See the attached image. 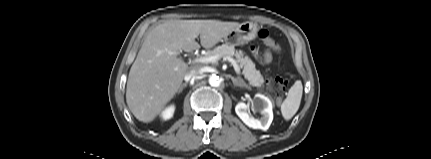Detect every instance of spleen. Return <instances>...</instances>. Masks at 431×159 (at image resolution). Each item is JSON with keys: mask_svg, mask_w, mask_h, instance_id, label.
Returning <instances> with one entry per match:
<instances>
[{"mask_svg": "<svg viewBox=\"0 0 431 159\" xmlns=\"http://www.w3.org/2000/svg\"><path fill=\"white\" fill-rule=\"evenodd\" d=\"M303 93V86L297 80L288 91V96L281 105V113L285 120H290L298 111Z\"/></svg>", "mask_w": 431, "mask_h": 159, "instance_id": "3e777b00", "label": "spleen"}]
</instances>
